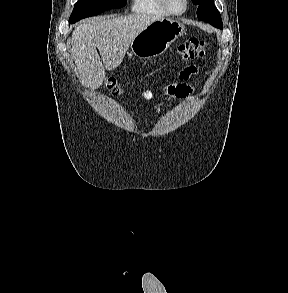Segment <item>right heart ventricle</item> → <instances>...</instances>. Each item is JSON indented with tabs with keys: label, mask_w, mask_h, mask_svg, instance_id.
<instances>
[{
	"label": "right heart ventricle",
	"mask_w": 288,
	"mask_h": 293,
	"mask_svg": "<svg viewBox=\"0 0 288 293\" xmlns=\"http://www.w3.org/2000/svg\"><path fill=\"white\" fill-rule=\"evenodd\" d=\"M131 9L140 14L168 16L169 13L162 7L159 0H133Z\"/></svg>",
	"instance_id": "e07e8e85"
}]
</instances>
